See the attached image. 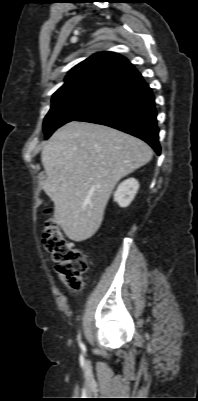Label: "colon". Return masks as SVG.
I'll list each match as a JSON object with an SVG mask.
<instances>
[{
    "label": "colon",
    "mask_w": 198,
    "mask_h": 401,
    "mask_svg": "<svg viewBox=\"0 0 198 401\" xmlns=\"http://www.w3.org/2000/svg\"><path fill=\"white\" fill-rule=\"evenodd\" d=\"M43 245L56 262L57 272L64 284L73 292L82 289V277L88 269L83 251L74 247L62 234L57 221L49 218L44 223Z\"/></svg>",
    "instance_id": "obj_1"
}]
</instances>
